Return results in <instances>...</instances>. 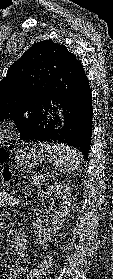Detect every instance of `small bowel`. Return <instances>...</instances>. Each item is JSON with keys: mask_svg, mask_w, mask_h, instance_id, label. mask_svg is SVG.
Instances as JSON below:
<instances>
[{"mask_svg": "<svg viewBox=\"0 0 113 279\" xmlns=\"http://www.w3.org/2000/svg\"><path fill=\"white\" fill-rule=\"evenodd\" d=\"M18 201L8 196L7 193L0 189V206L1 205H17ZM13 246L18 259L22 262H28L27 248V237L22 232H15L13 237ZM26 272V268L23 266L13 267L6 274V279H19Z\"/></svg>", "mask_w": 113, "mask_h": 279, "instance_id": "obj_1", "label": "small bowel"}]
</instances>
